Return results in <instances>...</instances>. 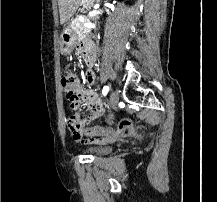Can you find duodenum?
Returning a JSON list of instances; mask_svg holds the SVG:
<instances>
[{
  "mask_svg": "<svg viewBox=\"0 0 217 202\" xmlns=\"http://www.w3.org/2000/svg\"><path fill=\"white\" fill-rule=\"evenodd\" d=\"M81 52H82L83 58L85 62L87 63V65L91 66L94 62V55L89 49L88 43L84 42L82 44Z\"/></svg>",
  "mask_w": 217,
  "mask_h": 202,
  "instance_id": "obj_1",
  "label": "duodenum"
}]
</instances>
